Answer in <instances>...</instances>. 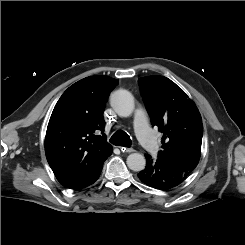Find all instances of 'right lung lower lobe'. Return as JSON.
Listing matches in <instances>:
<instances>
[{"label":"right lung lower lobe","mask_w":245,"mask_h":245,"mask_svg":"<svg viewBox=\"0 0 245 245\" xmlns=\"http://www.w3.org/2000/svg\"><path fill=\"white\" fill-rule=\"evenodd\" d=\"M103 163H100L97 166H95V168L90 173L85 175L83 178H81L80 180H78L77 182L69 186L68 188L81 189V188L87 187L93 184L94 182H96L102 171Z\"/></svg>","instance_id":"98d812e1"}]
</instances>
